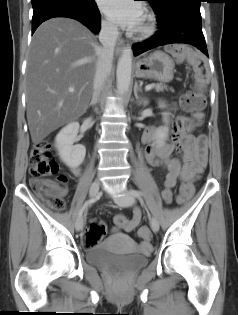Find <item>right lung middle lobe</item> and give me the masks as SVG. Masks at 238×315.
<instances>
[{
  "label": "right lung middle lobe",
  "instance_id": "obj_1",
  "mask_svg": "<svg viewBox=\"0 0 238 315\" xmlns=\"http://www.w3.org/2000/svg\"><path fill=\"white\" fill-rule=\"evenodd\" d=\"M80 1H84L85 2V1H88V0H80Z\"/></svg>",
  "mask_w": 238,
  "mask_h": 315
}]
</instances>
